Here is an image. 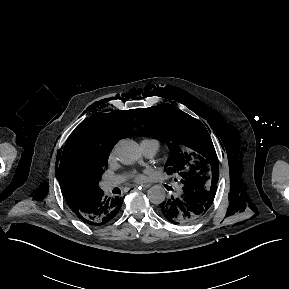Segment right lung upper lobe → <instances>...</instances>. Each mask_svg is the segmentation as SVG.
Masks as SVG:
<instances>
[{"instance_id":"cb5924a9","label":"right lung upper lobe","mask_w":289,"mask_h":289,"mask_svg":"<svg viewBox=\"0 0 289 289\" xmlns=\"http://www.w3.org/2000/svg\"><path fill=\"white\" fill-rule=\"evenodd\" d=\"M133 117L129 110L99 113L80 123L69 136L57 159L56 172L72 210L101 191L99 168L120 138L134 134Z\"/></svg>"}]
</instances>
